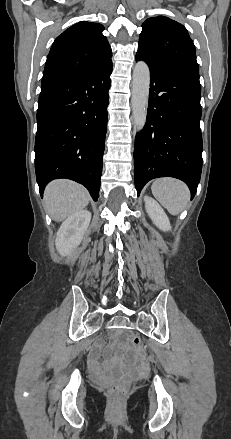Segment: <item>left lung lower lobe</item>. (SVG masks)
I'll list each match as a JSON object with an SVG mask.
<instances>
[{
	"mask_svg": "<svg viewBox=\"0 0 231 439\" xmlns=\"http://www.w3.org/2000/svg\"><path fill=\"white\" fill-rule=\"evenodd\" d=\"M141 60L136 56V61ZM147 119L134 147V179L138 195L158 177L185 183L193 198L202 170L201 85L199 74L149 65Z\"/></svg>",
	"mask_w": 231,
	"mask_h": 439,
	"instance_id": "1",
	"label": "left lung lower lobe"
}]
</instances>
